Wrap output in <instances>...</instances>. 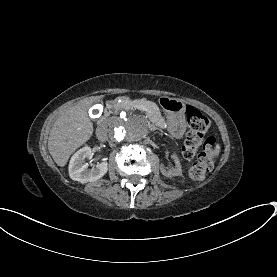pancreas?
I'll use <instances>...</instances> for the list:
<instances>
[{
	"label": "pancreas",
	"instance_id": "cf45deb5",
	"mask_svg": "<svg viewBox=\"0 0 277 277\" xmlns=\"http://www.w3.org/2000/svg\"><path fill=\"white\" fill-rule=\"evenodd\" d=\"M105 107L109 114L114 115L125 111H134L136 108L145 113V119L154 128L163 126V118L160 116V108L157 104L151 103L146 97H141L137 101L134 97L128 96L125 99L110 97L105 101Z\"/></svg>",
	"mask_w": 277,
	"mask_h": 277
}]
</instances>
